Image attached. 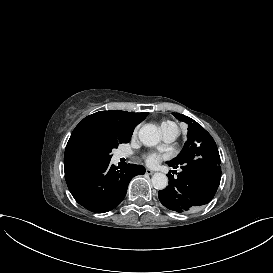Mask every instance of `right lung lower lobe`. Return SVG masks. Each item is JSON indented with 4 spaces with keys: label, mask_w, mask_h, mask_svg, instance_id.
Returning <instances> with one entry per match:
<instances>
[{
    "label": "right lung lower lobe",
    "mask_w": 273,
    "mask_h": 273,
    "mask_svg": "<svg viewBox=\"0 0 273 273\" xmlns=\"http://www.w3.org/2000/svg\"><path fill=\"white\" fill-rule=\"evenodd\" d=\"M109 163L91 166L67 181L74 199L91 212L114 209L124 199L130 180L145 173L141 165L127 164L118 170Z\"/></svg>",
    "instance_id": "right-lung-lower-lobe-1"
}]
</instances>
